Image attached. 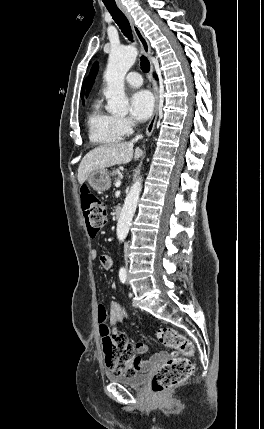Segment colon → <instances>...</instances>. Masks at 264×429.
<instances>
[{
	"mask_svg": "<svg viewBox=\"0 0 264 429\" xmlns=\"http://www.w3.org/2000/svg\"><path fill=\"white\" fill-rule=\"evenodd\" d=\"M81 207L86 225L91 236H95L105 225L107 208L105 204L89 189L83 188L80 193ZM98 322L106 330V309L98 305ZM159 341L166 347L178 350L183 357L172 354L155 373L151 388L154 393L162 394L187 380L194 367L189 357L195 353L192 342L172 328H161L157 333ZM104 360L113 373L131 375L135 373L130 363L135 357L134 347L123 333L112 334L103 344Z\"/></svg>",
	"mask_w": 264,
	"mask_h": 429,
	"instance_id": "colon-1",
	"label": "colon"
}]
</instances>
